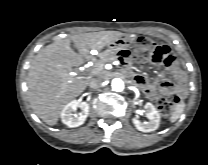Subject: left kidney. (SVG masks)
Listing matches in <instances>:
<instances>
[{"instance_id": "left-kidney-1", "label": "left kidney", "mask_w": 208, "mask_h": 165, "mask_svg": "<svg viewBox=\"0 0 208 165\" xmlns=\"http://www.w3.org/2000/svg\"><path fill=\"white\" fill-rule=\"evenodd\" d=\"M145 114L146 117L150 120L149 122L143 123L139 119L133 118V124L135 125L136 129L141 132L155 131L160 124V114L151 103H146Z\"/></svg>"}]
</instances>
